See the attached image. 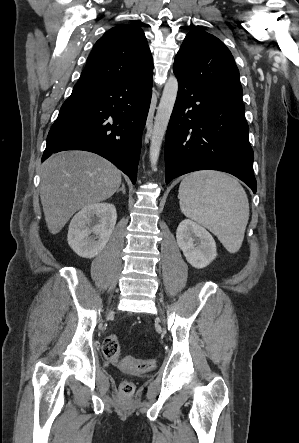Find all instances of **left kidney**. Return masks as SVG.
Returning a JSON list of instances; mask_svg holds the SVG:
<instances>
[{"label": "left kidney", "instance_id": "left-kidney-1", "mask_svg": "<svg viewBox=\"0 0 299 443\" xmlns=\"http://www.w3.org/2000/svg\"><path fill=\"white\" fill-rule=\"evenodd\" d=\"M176 239L186 260L195 268L208 266L217 255L212 235L191 220H183L176 231Z\"/></svg>", "mask_w": 299, "mask_h": 443}]
</instances>
